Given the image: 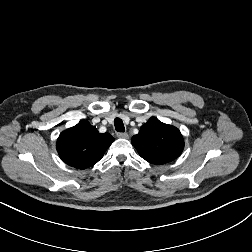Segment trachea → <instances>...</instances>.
I'll list each match as a JSON object with an SVG mask.
<instances>
[{
    "instance_id": "obj_1",
    "label": "trachea",
    "mask_w": 252,
    "mask_h": 252,
    "mask_svg": "<svg viewBox=\"0 0 252 252\" xmlns=\"http://www.w3.org/2000/svg\"><path fill=\"white\" fill-rule=\"evenodd\" d=\"M114 126H115V130L117 132H124L125 131L123 121L120 118L114 119Z\"/></svg>"
}]
</instances>
